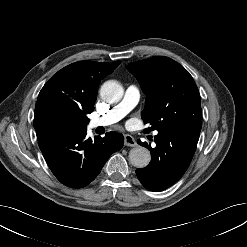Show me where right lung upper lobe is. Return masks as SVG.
<instances>
[{
  "label": "right lung upper lobe",
  "instance_id": "right-lung-upper-lobe-1",
  "mask_svg": "<svg viewBox=\"0 0 247 247\" xmlns=\"http://www.w3.org/2000/svg\"><path fill=\"white\" fill-rule=\"evenodd\" d=\"M120 61L98 63L80 61L58 71L41 89L34 113L37 137L44 133L46 118L55 113H65L89 120L93 112L100 81L111 74Z\"/></svg>",
  "mask_w": 247,
  "mask_h": 247
}]
</instances>
